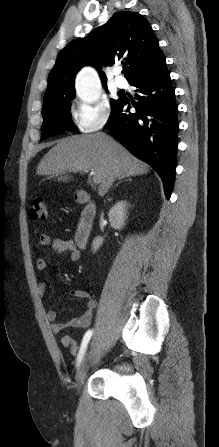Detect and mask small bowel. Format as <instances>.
<instances>
[{"mask_svg": "<svg viewBox=\"0 0 219 447\" xmlns=\"http://www.w3.org/2000/svg\"><path fill=\"white\" fill-rule=\"evenodd\" d=\"M38 246L51 247L56 253L68 252L71 261H78L80 259V251L77 248L75 242L72 239L57 238L53 239L48 234H42L38 240ZM47 267L45 259H38L36 262V269L40 272L44 271ZM47 290V283L41 280L38 284V291L40 294H44ZM68 296L76 299H85L86 305L84 312L79 317H76L68 322H57V312L53 309H49L46 312V319L50 322V329L53 333H60L66 328H86L90 325L96 303L91 298L90 294L81 288H74L68 291ZM61 343L64 347L68 348L71 354L75 355L78 352V345L69 335L61 336Z\"/></svg>", "mask_w": 219, "mask_h": 447, "instance_id": "small-bowel-1", "label": "small bowel"}]
</instances>
